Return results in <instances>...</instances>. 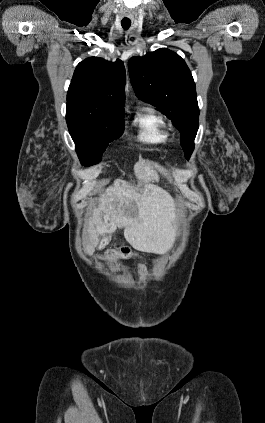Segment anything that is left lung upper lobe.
<instances>
[{"mask_svg": "<svg viewBox=\"0 0 265 423\" xmlns=\"http://www.w3.org/2000/svg\"><path fill=\"white\" fill-rule=\"evenodd\" d=\"M133 89L139 99L150 102L166 115L181 133V146L189 159L198 130L196 87L185 61L161 48L128 62Z\"/></svg>", "mask_w": 265, "mask_h": 423, "instance_id": "1", "label": "left lung upper lobe"}]
</instances>
